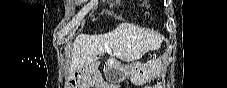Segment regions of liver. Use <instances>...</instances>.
I'll return each instance as SVG.
<instances>
[{"label": "liver", "instance_id": "obj_1", "mask_svg": "<svg viewBox=\"0 0 227 88\" xmlns=\"http://www.w3.org/2000/svg\"><path fill=\"white\" fill-rule=\"evenodd\" d=\"M160 45L158 35L130 23H121L103 35L80 34L72 43L69 72L87 67L102 53L131 62L141 59L145 53L158 49Z\"/></svg>", "mask_w": 227, "mask_h": 88}]
</instances>
